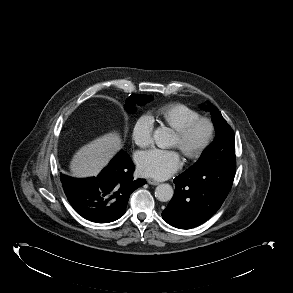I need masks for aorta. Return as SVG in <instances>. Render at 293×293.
<instances>
[{
	"label": "aorta",
	"instance_id": "obj_1",
	"mask_svg": "<svg viewBox=\"0 0 293 293\" xmlns=\"http://www.w3.org/2000/svg\"><path fill=\"white\" fill-rule=\"evenodd\" d=\"M156 145L160 148H167L172 146L173 134L172 130L167 127H160L154 131L153 134ZM174 191L169 184H160L155 189V197L162 202L170 201L173 197Z\"/></svg>",
	"mask_w": 293,
	"mask_h": 293
}]
</instances>
